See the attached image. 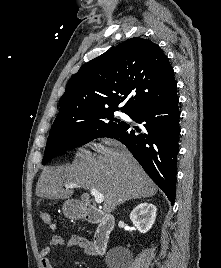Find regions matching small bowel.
<instances>
[{
  "mask_svg": "<svg viewBox=\"0 0 221 268\" xmlns=\"http://www.w3.org/2000/svg\"><path fill=\"white\" fill-rule=\"evenodd\" d=\"M71 248L77 247L85 251L88 255H95L93 243L86 237L80 235H70L69 237H63L60 235L53 236L49 243L40 251L42 268H53L50 255L52 251L57 248Z\"/></svg>",
  "mask_w": 221,
  "mask_h": 268,
  "instance_id": "small-bowel-1",
  "label": "small bowel"
}]
</instances>
